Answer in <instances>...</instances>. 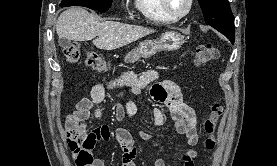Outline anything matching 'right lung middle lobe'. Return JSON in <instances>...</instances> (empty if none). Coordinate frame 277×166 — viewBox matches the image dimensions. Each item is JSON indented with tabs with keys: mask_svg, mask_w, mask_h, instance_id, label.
I'll list each match as a JSON object with an SVG mask.
<instances>
[{
	"mask_svg": "<svg viewBox=\"0 0 277 166\" xmlns=\"http://www.w3.org/2000/svg\"><path fill=\"white\" fill-rule=\"evenodd\" d=\"M112 0H63L60 7L84 6L93 10L106 11L111 7Z\"/></svg>",
	"mask_w": 277,
	"mask_h": 166,
	"instance_id": "obj_1",
	"label": "right lung middle lobe"
}]
</instances>
